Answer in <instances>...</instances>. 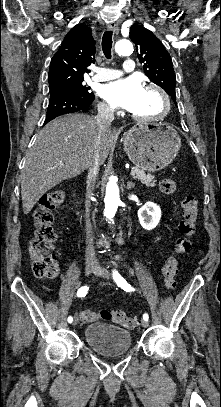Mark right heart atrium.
<instances>
[{"label": "right heart atrium", "instance_id": "obj_1", "mask_svg": "<svg viewBox=\"0 0 221 407\" xmlns=\"http://www.w3.org/2000/svg\"><path fill=\"white\" fill-rule=\"evenodd\" d=\"M98 110L100 113H113L115 111V108L107 102H100L98 105Z\"/></svg>", "mask_w": 221, "mask_h": 407}]
</instances>
